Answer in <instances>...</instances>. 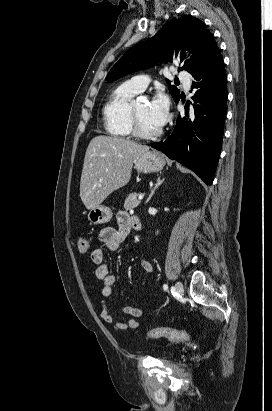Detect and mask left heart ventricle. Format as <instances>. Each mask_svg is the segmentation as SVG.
<instances>
[{"label":"left heart ventricle","mask_w":272,"mask_h":411,"mask_svg":"<svg viewBox=\"0 0 272 411\" xmlns=\"http://www.w3.org/2000/svg\"><path fill=\"white\" fill-rule=\"evenodd\" d=\"M135 112L141 128L148 132H153L159 129L150 119L148 115V103L146 100H139L134 103Z\"/></svg>","instance_id":"obj_1"}]
</instances>
